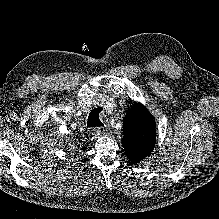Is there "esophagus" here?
<instances>
[{"label": "esophagus", "instance_id": "1", "mask_svg": "<svg viewBox=\"0 0 219 219\" xmlns=\"http://www.w3.org/2000/svg\"><path fill=\"white\" fill-rule=\"evenodd\" d=\"M106 126H100V127H96L94 129V132L97 133L98 135H103L106 133Z\"/></svg>", "mask_w": 219, "mask_h": 219}]
</instances>
